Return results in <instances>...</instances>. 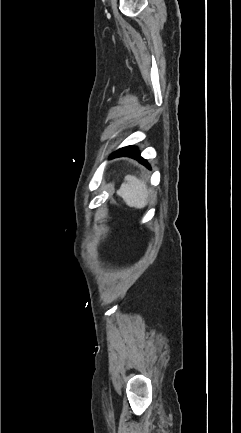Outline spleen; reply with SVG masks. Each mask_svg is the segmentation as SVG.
<instances>
[{"label": "spleen", "instance_id": "obj_1", "mask_svg": "<svg viewBox=\"0 0 241 433\" xmlns=\"http://www.w3.org/2000/svg\"><path fill=\"white\" fill-rule=\"evenodd\" d=\"M117 194L123 198L129 207L141 209L147 205L149 191L144 181L135 176L127 175Z\"/></svg>", "mask_w": 241, "mask_h": 433}]
</instances>
